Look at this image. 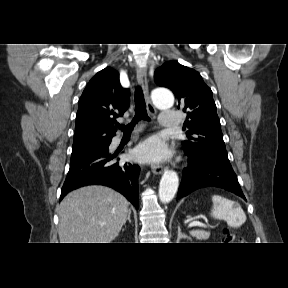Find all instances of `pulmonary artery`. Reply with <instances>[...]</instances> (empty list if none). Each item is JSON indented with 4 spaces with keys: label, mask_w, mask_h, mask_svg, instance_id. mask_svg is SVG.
<instances>
[{
    "label": "pulmonary artery",
    "mask_w": 288,
    "mask_h": 288,
    "mask_svg": "<svg viewBox=\"0 0 288 288\" xmlns=\"http://www.w3.org/2000/svg\"><path fill=\"white\" fill-rule=\"evenodd\" d=\"M181 115L172 110H163L160 115V126L164 128H177L180 124Z\"/></svg>",
    "instance_id": "e3ab8cb5"
}]
</instances>
